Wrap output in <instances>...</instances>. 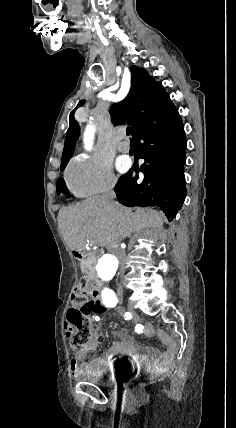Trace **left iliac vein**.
Returning <instances> with one entry per match:
<instances>
[{"instance_id":"left-iliac-vein-1","label":"left iliac vein","mask_w":236,"mask_h":428,"mask_svg":"<svg viewBox=\"0 0 236 428\" xmlns=\"http://www.w3.org/2000/svg\"><path fill=\"white\" fill-rule=\"evenodd\" d=\"M118 295L120 296V297H119L120 299H122V298H123V297H122V295H123V294H122L121 292H120Z\"/></svg>"}]
</instances>
